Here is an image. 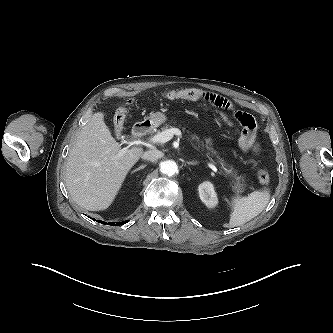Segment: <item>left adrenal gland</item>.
<instances>
[{"mask_svg":"<svg viewBox=\"0 0 333 333\" xmlns=\"http://www.w3.org/2000/svg\"><path fill=\"white\" fill-rule=\"evenodd\" d=\"M187 163H188L189 165H197V164H198L197 161H188Z\"/></svg>","mask_w":333,"mask_h":333,"instance_id":"a2214340","label":"left adrenal gland"}]
</instances>
